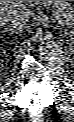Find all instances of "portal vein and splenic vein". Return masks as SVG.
I'll return each instance as SVG.
<instances>
[{"instance_id":"18ae733b","label":"portal vein and splenic vein","mask_w":74,"mask_h":122,"mask_svg":"<svg viewBox=\"0 0 74 122\" xmlns=\"http://www.w3.org/2000/svg\"><path fill=\"white\" fill-rule=\"evenodd\" d=\"M4 8L6 10H13L16 8H22L25 9V6L22 4V1H5L4 2ZM54 20H59L61 24H63V21L59 18V15L53 14Z\"/></svg>"}]
</instances>
